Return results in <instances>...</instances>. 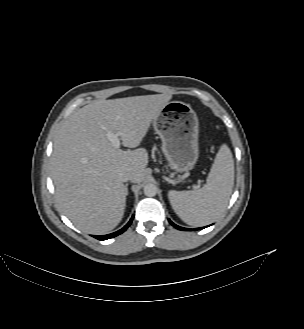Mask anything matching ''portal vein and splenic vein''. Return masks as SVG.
I'll return each instance as SVG.
<instances>
[{
  "mask_svg": "<svg viewBox=\"0 0 304 329\" xmlns=\"http://www.w3.org/2000/svg\"><path fill=\"white\" fill-rule=\"evenodd\" d=\"M107 138L111 142V144L114 148L118 149L120 147L121 138L119 137V134H115L113 132H108Z\"/></svg>",
  "mask_w": 304,
  "mask_h": 329,
  "instance_id": "1",
  "label": "portal vein and splenic vein"
}]
</instances>
